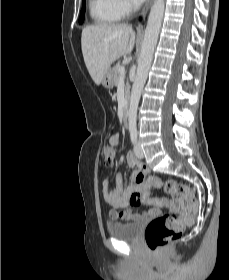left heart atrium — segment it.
<instances>
[{"mask_svg":"<svg viewBox=\"0 0 229 280\" xmlns=\"http://www.w3.org/2000/svg\"><path fill=\"white\" fill-rule=\"evenodd\" d=\"M143 1H145V0H137V2H143Z\"/></svg>","mask_w":229,"mask_h":280,"instance_id":"obj_1","label":"left heart atrium"}]
</instances>
